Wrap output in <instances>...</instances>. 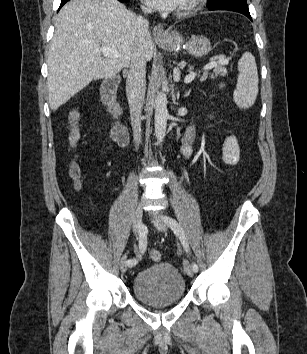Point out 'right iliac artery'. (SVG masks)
I'll list each match as a JSON object with an SVG mask.
<instances>
[{"instance_id": "82829eb1", "label": "right iliac artery", "mask_w": 307, "mask_h": 354, "mask_svg": "<svg viewBox=\"0 0 307 354\" xmlns=\"http://www.w3.org/2000/svg\"><path fill=\"white\" fill-rule=\"evenodd\" d=\"M147 247V237H146V229L143 225H140L139 229V249L140 252L143 253ZM127 265L129 267L135 266L138 263L137 259H129L127 260Z\"/></svg>"}]
</instances>
